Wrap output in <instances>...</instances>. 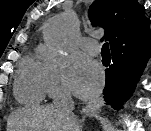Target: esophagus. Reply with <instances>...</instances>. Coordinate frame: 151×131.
<instances>
[{"mask_svg":"<svg viewBox=\"0 0 151 131\" xmlns=\"http://www.w3.org/2000/svg\"><path fill=\"white\" fill-rule=\"evenodd\" d=\"M104 105V100L102 97L96 98L88 102L82 109L81 113L84 115H91L92 113L98 111Z\"/></svg>","mask_w":151,"mask_h":131,"instance_id":"esophagus-1","label":"esophagus"}]
</instances>
